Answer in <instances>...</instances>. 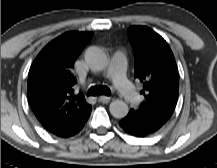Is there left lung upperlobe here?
<instances>
[{"label": "left lung upper lobe", "instance_id": "obj_1", "mask_svg": "<svg viewBox=\"0 0 217 168\" xmlns=\"http://www.w3.org/2000/svg\"><path fill=\"white\" fill-rule=\"evenodd\" d=\"M128 37L134 50V77L143 83L145 100L134 110L142 117L166 123L179 92L178 70L168 43L151 28L131 26Z\"/></svg>", "mask_w": 217, "mask_h": 168}]
</instances>
